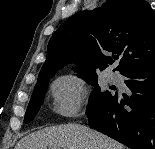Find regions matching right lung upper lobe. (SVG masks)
<instances>
[{"mask_svg": "<svg viewBox=\"0 0 155 149\" xmlns=\"http://www.w3.org/2000/svg\"><path fill=\"white\" fill-rule=\"evenodd\" d=\"M106 50L113 54H102ZM117 70L155 66V14L144 0H107L93 11L78 12L51 37L38 81L74 62L76 72L104 70L117 55Z\"/></svg>", "mask_w": 155, "mask_h": 149, "instance_id": "right-lung-upper-lobe-1", "label": "right lung upper lobe"}]
</instances>
